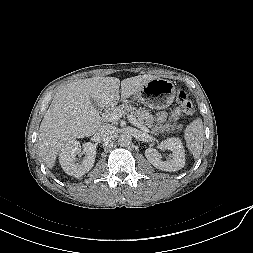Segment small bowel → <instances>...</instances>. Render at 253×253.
Segmentation results:
<instances>
[{
	"instance_id": "c3829d8e",
	"label": "small bowel",
	"mask_w": 253,
	"mask_h": 253,
	"mask_svg": "<svg viewBox=\"0 0 253 253\" xmlns=\"http://www.w3.org/2000/svg\"><path fill=\"white\" fill-rule=\"evenodd\" d=\"M179 116H180V110L175 109L174 112H173V114H172V117L173 118H178ZM164 119H165V114L164 113H160L158 115V120L159 121H163Z\"/></svg>"
}]
</instances>
